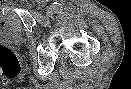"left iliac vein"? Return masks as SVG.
Masks as SVG:
<instances>
[{"mask_svg": "<svg viewBox=\"0 0 131 89\" xmlns=\"http://www.w3.org/2000/svg\"><path fill=\"white\" fill-rule=\"evenodd\" d=\"M46 14L47 16H51L53 14V8L51 6L47 7Z\"/></svg>", "mask_w": 131, "mask_h": 89, "instance_id": "4c4485c4", "label": "left iliac vein"}]
</instances>
